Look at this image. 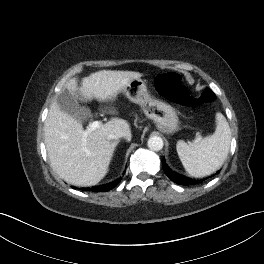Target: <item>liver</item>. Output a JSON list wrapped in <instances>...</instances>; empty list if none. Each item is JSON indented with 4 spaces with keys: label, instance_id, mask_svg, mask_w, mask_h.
Instances as JSON below:
<instances>
[{
    "label": "liver",
    "instance_id": "1",
    "mask_svg": "<svg viewBox=\"0 0 264 264\" xmlns=\"http://www.w3.org/2000/svg\"><path fill=\"white\" fill-rule=\"evenodd\" d=\"M139 72L102 70L82 79H70L65 88L82 100L107 101L116 96L129 82L140 78ZM79 94V95H78ZM82 123L63 112L57 102L50 106L44 124L45 145L53 170L74 186H93L107 174L114 148L107 136L122 133L131 140L130 126L126 120L112 118L100 128L83 136Z\"/></svg>",
    "mask_w": 264,
    "mask_h": 264
}]
</instances>
